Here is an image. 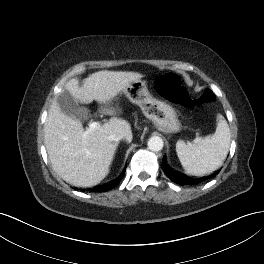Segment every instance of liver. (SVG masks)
Returning <instances> with one entry per match:
<instances>
[{
    "mask_svg": "<svg viewBox=\"0 0 264 264\" xmlns=\"http://www.w3.org/2000/svg\"><path fill=\"white\" fill-rule=\"evenodd\" d=\"M143 76L135 72L98 71L84 79L79 86L78 79L69 80L64 88L77 102L89 104L93 100L107 104L133 81ZM104 114L114 115L112 108H103ZM82 123L64 114L57 101L48 112L44 125L45 146L55 172L67 183L88 187L99 184L109 173V166L116 150L109 141L110 134H121L128 142L132 140L128 121L112 117L87 136Z\"/></svg>",
    "mask_w": 264,
    "mask_h": 264,
    "instance_id": "obj_1",
    "label": "liver"
}]
</instances>
